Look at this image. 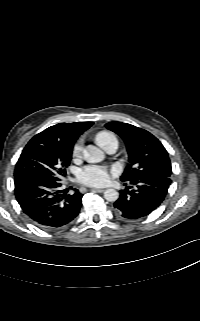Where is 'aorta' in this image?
Here are the masks:
<instances>
[{
	"label": "aorta",
	"mask_w": 200,
	"mask_h": 321,
	"mask_svg": "<svg viewBox=\"0 0 200 321\" xmlns=\"http://www.w3.org/2000/svg\"><path fill=\"white\" fill-rule=\"evenodd\" d=\"M85 157L88 162L95 163L100 162L105 159V153L97 147L89 146L87 148ZM104 197L109 202H114L118 199L119 194L114 189H108L104 193Z\"/></svg>",
	"instance_id": "aorta-1"
}]
</instances>
